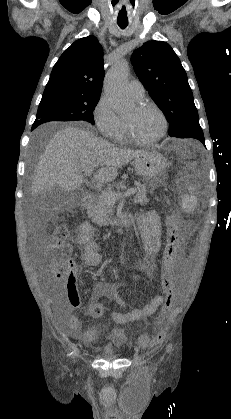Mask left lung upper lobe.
<instances>
[{"label": "left lung upper lobe", "instance_id": "1", "mask_svg": "<svg viewBox=\"0 0 231 419\" xmlns=\"http://www.w3.org/2000/svg\"><path fill=\"white\" fill-rule=\"evenodd\" d=\"M131 61L138 78L164 111L169 136L201 129L186 72L168 43L148 41L134 51Z\"/></svg>", "mask_w": 231, "mask_h": 419}]
</instances>
